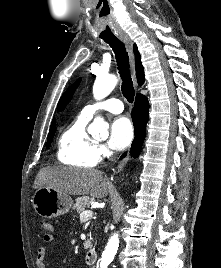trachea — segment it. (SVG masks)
<instances>
[{"mask_svg": "<svg viewBox=\"0 0 221 268\" xmlns=\"http://www.w3.org/2000/svg\"><path fill=\"white\" fill-rule=\"evenodd\" d=\"M104 41L109 44L115 54L119 74L122 79V94L129 103H132L135 96V90L130 76L129 56L125 45L117 37L106 39Z\"/></svg>", "mask_w": 221, "mask_h": 268, "instance_id": "trachea-1", "label": "trachea"}]
</instances>
